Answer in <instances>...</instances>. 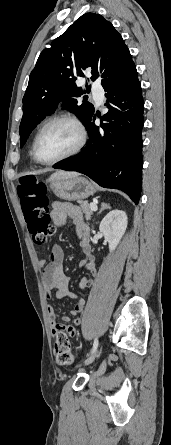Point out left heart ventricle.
<instances>
[{"label": "left heart ventricle", "mask_w": 171, "mask_h": 445, "mask_svg": "<svg viewBox=\"0 0 171 445\" xmlns=\"http://www.w3.org/2000/svg\"><path fill=\"white\" fill-rule=\"evenodd\" d=\"M78 141L75 127L68 123H57L48 127L41 135L37 152L42 160H54L70 150Z\"/></svg>", "instance_id": "obj_1"}]
</instances>
